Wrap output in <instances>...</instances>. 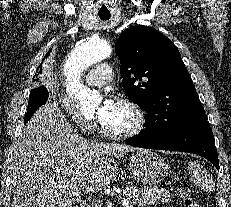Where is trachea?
Instances as JSON below:
<instances>
[{"label": "trachea", "instance_id": "3493384b", "mask_svg": "<svg viewBox=\"0 0 231 207\" xmlns=\"http://www.w3.org/2000/svg\"><path fill=\"white\" fill-rule=\"evenodd\" d=\"M110 16V14H99L101 20H109Z\"/></svg>", "mask_w": 231, "mask_h": 207}]
</instances>
